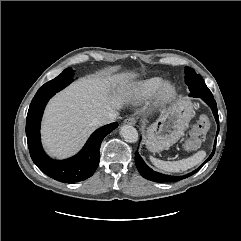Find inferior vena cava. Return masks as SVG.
Masks as SVG:
<instances>
[{
    "mask_svg": "<svg viewBox=\"0 0 241 241\" xmlns=\"http://www.w3.org/2000/svg\"><path fill=\"white\" fill-rule=\"evenodd\" d=\"M117 115L118 113L115 110L106 111L93 119V124L95 126H103L112 123L116 120Z\"/></svg>",
    "mask_w": 241,
    "mask_h": 241,
    "instance_id": "1",
    "label": "inferior vena cava"
}]
</instances>
